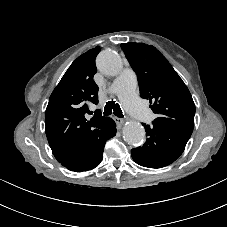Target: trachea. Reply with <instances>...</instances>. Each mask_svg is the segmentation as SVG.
<instances>
[{
	"mask_svg": "<svg viewBox=\"0 0 227 227\" xmlns=\"http://www.w3.org/2000/svg\"><path fill=\"white\" fill-rule=\"evenodd\" d=\"M114 113L115 116L122 118L123 112L119 106L118 103H115V101H108L104 107V116H108L110 114Z\"/></svg>",
	"mask_w": 227,
	"mask_h": 227,
	"instance_id": "3493384b",
	"label": "trachea"
}]
</instances>
